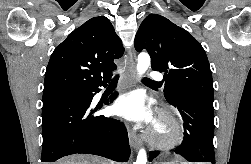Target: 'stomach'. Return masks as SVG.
<instances>
[{"instance_id": "obj_1", "label": "stomach", "mask_w": 251, "mask_h": 164, "mask_svg": "<svg viewBox=\"0 0 251 164\" xmlns=\"http://www.w3.org/2000/svg\"><path fill=\"white\" fill-rule=\"evenodd\" d=\"M158 164H186V163L185 162L178 163L177 161H175V162H162Z\"/></svg>"}]
</instances>
